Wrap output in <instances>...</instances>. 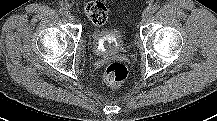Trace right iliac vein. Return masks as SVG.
Wrapping results in <instances>:
<instances>
[{"mask_svg": "<svg viewBox=\"0 0 217 121\" xmlns=\"http://www.w3.org/2000/svg\"><path fill=\"white\" fill-rule=\"evenodd\" d=\"M68 20H69L70 22H74V21H75L74 15H72L71 13H69V14H68Z\"/></svg>", "mask_w": 217, "mask_h": 121, "instance_id": "right-iliac-vein-1", "label": "right iliac vein"}]
</instances>
